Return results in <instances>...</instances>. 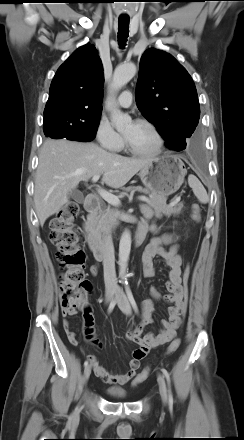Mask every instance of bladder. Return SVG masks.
I'll return each mask as SVG.
<instances>
[{
  "label": "bladder",
  "mask_w": 244,
  "mask_h": 440,
  "mask_svg": "<svg viewBox=\"0 0 244 440\" xmlns=\"http://www.w3.org/2000/svg\"><path fill=\"white\" fill-rule=\"evenodd\" d=\"M106 394L115 400H123L127 398V393L124 390L107 389Z\"/></svg>",
  "instance_id": "bladder-1"
}]
</instances>
